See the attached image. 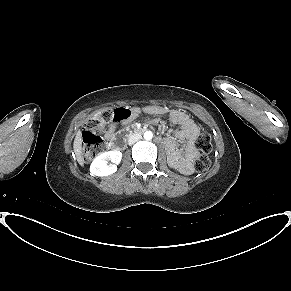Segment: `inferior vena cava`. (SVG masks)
I'll return each instance as SVG.
<instances>
[{"instance_id":"602c4592","label":"inferior vena cava","mask_w":291,"mask_h":291,"mask_svg":"<svg viewBox=\"0 0 291 291\" xmlns=\"http://www.w3.org/2000/svg\"><path fill=\"white\" fill-rule=\"evenodd\" d=\"M141 138H142V136L140 134H133L129 137L128 143H129V145H132L135 142H137L138 140H140Z\"/></svg>"}]
</instances>
